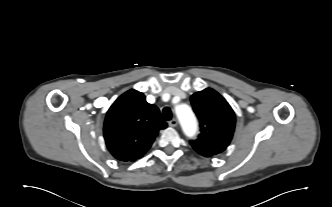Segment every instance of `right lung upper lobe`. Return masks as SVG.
Returning <instances> with one entry per match:
<instances>
[{
	"label": "right lung upper lobe",
	"instance_id": "cb5924a9",
	"mask_svg": "<svg viewBox=\"0 0 332 207\" xmlns=\"http://www.w3.org/2000/svg\"><path fill=\"white\" fill-rule=\"evenodd\" d=\"M167 123L159 109L147 103L143 93L131 89L109 108L104 122V138L111 154L120 161H135L151 147Z\"/></svg>",
	"mask_w": 332,
	"mask_h": 207
}]
</instances>
